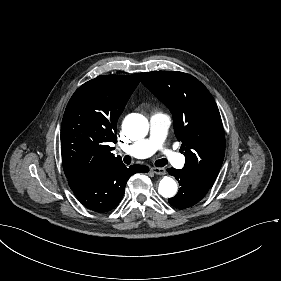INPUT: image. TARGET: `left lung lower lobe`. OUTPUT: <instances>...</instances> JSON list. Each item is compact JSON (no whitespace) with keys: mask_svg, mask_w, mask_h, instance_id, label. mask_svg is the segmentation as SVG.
I'll use <instances>...</instances> for the list:
<instances>
[{"mask_svg":"<svg viewBox=\"0 0 281 281\" xmlns=\"http://www.w3.org/2000/svg\"><path fill=\"white\" fill-rule=\"evenodd\" d=\"M167 171L179 181L181 186L177 195L168 199L169 203L176 208H188L197 204L210 189L190 172L174 168Z\"/></svg>","mask_w":281,"mask_h":281,"instance_id":"obj_1","label":"left lung lower lobe"}]
</instances>
